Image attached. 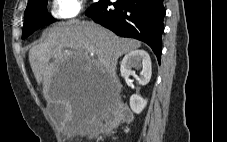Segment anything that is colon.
<instances>
[{
    "instance_id": "obj_1",
    "label": "colon",
    "mask_w": 227,
    "mask_h": 142,
    "mask_svg": "<svg viewBox=\"0 0 227 142\" xmlns=\"http://www.w3.org/2000/svg\"><path fill=\"white\" fill-rule=\"evenodd\" d=\"M123 117V113L122 112H117L116 114L114 115H111L109 118H108V122L112 125H115L119 119Z\"/></svg>"
}]
</instances>
